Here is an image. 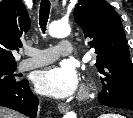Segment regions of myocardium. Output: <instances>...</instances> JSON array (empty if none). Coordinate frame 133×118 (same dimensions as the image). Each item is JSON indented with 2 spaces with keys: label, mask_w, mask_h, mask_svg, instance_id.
Here are the masks:
<instances>
[{
  "label": "myocardium",
  "mask_w": 133,
  "mask_h": 118,
  "mask_svg": "<svg viewBox=\"0 0 133 118\" xmlns=\"http://www.w3.org/2000/svg\"><path fill=\"white\" fill-rule=\"evenodd\" d=\"M90 91H91V88L89 86H85L81 92V97L82 98H86L89 96L90 94Z\"/></svg>",
  "instance_id": "obj_1"
}]
</instances>
